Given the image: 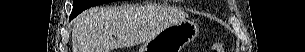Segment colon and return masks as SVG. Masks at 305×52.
Here are the masks:
<instances>
[{
	"label": "colon",
	"instance_id": "colon-1",
	"mask_svg": "<svg viewBox=\"0 0 305 52\" xmlns=\"http://www.w3.org/2000/svg\"><path fill=\"white\" fill-rule=\"evenodd\" d=\"M213 52H223L222 46L217 43L213 46Z\"/></svg>",
	"mask_w": 305,
	"mask_h": 52
}]
</instances>
